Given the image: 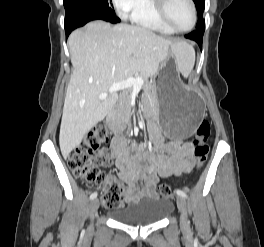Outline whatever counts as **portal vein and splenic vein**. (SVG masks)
Returning <instances> with one entry per match:
<instances>
[{
	"label": "portal vein and splenic vein",
	"instance_id": "1",
	"mask_svg": "<svg viewBox=\"0 0 264 247\" xmlns=\"http://www.w3.org/2000/svg\"><path fill=\"white\" fill-rule=\"evenodd\" d=\"M143 84H144V80L141 77H130L126 80L112 84V86L109 89V92H117L119 90H124L129 87L140 89ZM107 96L108 93H101L99 95V99L101 100L106 99Z\"/></svg>",
	"mask_w": 264,
	"mask_h": 247
}]
</instances>
